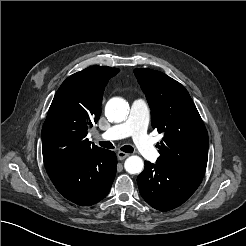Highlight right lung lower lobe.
Returning <instances> with one entry per match:
<instances>
[{"mask_svg":"<svg viewBox=\"0 0 246 246\" xmlns=\"http://www.w3.org/2000/svg\"><path fill=\"white\" fill-rule=\"evenodd\" d=\"M116 165V154L104 149L58 161L46 170L61 195L75 204L90 206L109 193Z\"/></svg>","mask_w":246,"mask_h":246,"instance_id":"1","label":"right lung lower lobe"}]
</instances>
